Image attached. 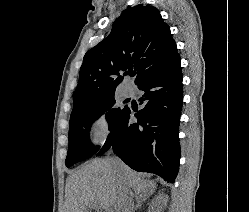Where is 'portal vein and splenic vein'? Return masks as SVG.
<instances>
[{
  "mask_svg": "<svg viewBox=\"0 0 249 212\" xmlns=\"http://www.w3.org/2000/svg\"><path fill=\"white\" fill-rule=\"evenodd\" d=\"M93 208H100V204H97V202H93Z\"/></svg>",
  "mask_w": 249,
  "mask_h": 212,
  "instance_id": "18ae733b",
  "label": "portal vein and splenic vein"
}]
</instances>
